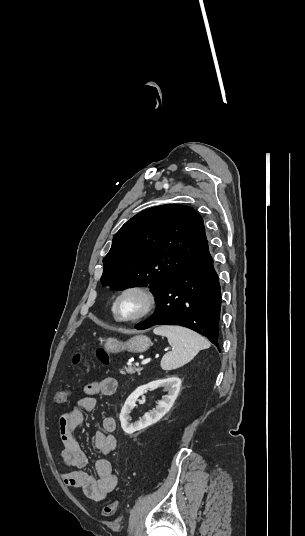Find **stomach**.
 Wrapping results in <instances>:
<instances>
[{
  "instance_id": "0dacf381",
  "label": "stomach",
  "mask_w": 305,
  "mask_h": 536,
  "mask_svg": "<svg viewBox=\"0 0 305 536\" xmlns=\"http://www.w3.org/2000/svg\"><path fill=\"white\" fill-rule=\"evenodd\" d=\"M150 346H152L150 338H147V336H142V334H140V336L130 338L128 342H118L116 338H107V340L104 342V350L107 352V354H118V352H123V350L140 354V352H147Z\"/></svg>"
}]
</instances>
